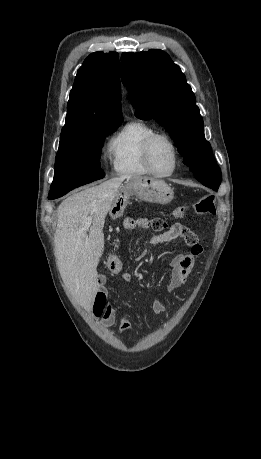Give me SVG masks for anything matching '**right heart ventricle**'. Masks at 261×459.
<instances>
[{"instance_id": "e07e8e85", "label": "right heart ventricle", "mask_w": 261, "mask_h": 459, "mask_svg": "<svg viewBox=\"0 0 261 459\" xmlns=\"http://www.w3.org/2000/svg\"><path fill=\"white\" fill-rule=\"evenodd\" d=\"M156 133L155 128L144 121L126 124L111 140L109 151L115 172L120 176L150 174L143 159L144 143Z\"/></svg>"}]
</instances>
